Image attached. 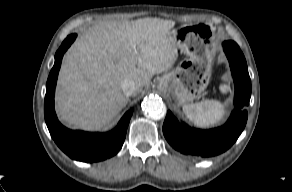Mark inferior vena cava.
I'll list each match as a JSON object with an SVG mask.
<instances>
[{
  "mask_svg": "<svg viewBox=\"0 0 292 192\" xmlns=\"http://www.w3.org/2000/svg\"><path fill=\"white\" fill-rule=\"evenodd\" d=\"M121 88L125 95L131 96L135 91V83L132 80H125L122 83Z\"/></svg>",
  "mask_w": 292,
  "mask_h": 192,
  "instance_id": "1",
  "label": "inferior vena cava"
}]
</instances>
